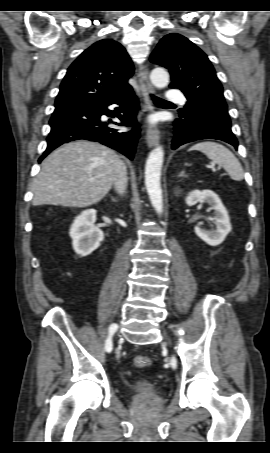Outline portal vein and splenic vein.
<instances>
[{
  "mask_svg": "<svg viewBox=\"0 0 270 453\" xmlns=\"http://www.w3.org/2000/svg\"><path fill=\"white\" fill-rule=\"evenodd\" d=\"M210 167H211L213 170H215V165H214V164H212Z\"/></svg>",
  "mask_w": 270,
  "mask_h": 453,
  "instance_id": "18ae733b",
  "label": "portal vein and splenic vein"
}]
</instances>
